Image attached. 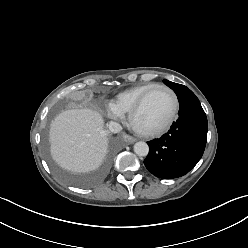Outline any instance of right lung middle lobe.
I'll list each match as a JSON object with an SVG mask.
<instances>
[{"label": "right lung middle lobe", "mask_w": 248, "mask_h": 248, "mask_svg": "<svg viewBox=\"0 0 248 248\" xmlns=\"http://www.w3.org/2000/svg\"><path fill=\"white\" fill-rule=\"evenodd\" d=\"M45 150L49 155V146L47 139L45 140ZM114 150L112 149L107 157L105 158L103 164L101 167L96 170L93 173H90L88 175H76L72 174L66 170H64L62 167H60L57 163H55L52 159H50V165L55 172V174L60 177L65 182L76 185V186H89L92 184L97 183L99 180H101L104 175L106 174L107 170L109 169V166L111 164L112 156H113Z\"/></svg>", "instance_id": "dd1d6c3e"}]
</instances>
